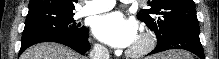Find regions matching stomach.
<instances>
[{"mask_svg":"<svg viewBox=\"0 0 219 59\" xmlns=\"http://www.w3.org/2000/svg\"><path fill=\"white\" fill-rule=\"evenodd\" d=\"M174 54H175V52H171V53H168V54H163V55H161L160 57H162V58H165V59H171V57H173L174 56Z\"/></svg>","mask_w":219,"mask_h":59,"instance_id":"1","label":"stomach"}]
</instances>
